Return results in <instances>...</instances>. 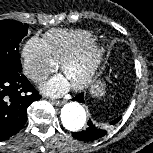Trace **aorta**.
Instances as JSON below:
<instances>
[{
  "mask_svg": "<svg viewBox=\"0 0 153 153\" xmlns=\"http://www.w3.org/2000/svg\"><path fill=\"white\" fill-rule=\"evenodd\" d=\"M61 122L69 131H78L86 123V112L82 105L77 102H69L61 109Z\"/></svg>",
  "mask_w": 153,
  "mask_h": 153,
  "instance_id": "aorta-1",
  "label": "aorta"
}]
</instances>
